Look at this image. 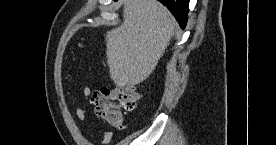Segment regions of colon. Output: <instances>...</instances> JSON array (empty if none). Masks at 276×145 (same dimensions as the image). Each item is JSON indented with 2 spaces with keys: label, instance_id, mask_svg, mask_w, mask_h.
I'll list each match as a JSON object with an SVG mask.
<instances>
[{
  "label": "colon",
  "instance_id": "obj_1",
  "mask_svg": "<svg viewBox=\"0 0 276 145\" xmlns=\"http://www.w3.org/2000/svg\"><path fill=\"white\" fill-rule=\"evenodd\" d=\"M140 96L131 85L102 87L92 91L91 103L96 116L111 127H121L124 112L136 109Z\"/></svg>",
  "mask_w": 276,
  "mask_h": 145
}]
</instances>
